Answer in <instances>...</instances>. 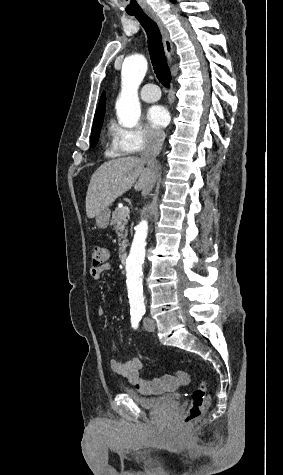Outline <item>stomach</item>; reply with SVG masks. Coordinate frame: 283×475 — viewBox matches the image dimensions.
Masks as SVG:
<instances>
[{
  "label": "stomach",
  "mask_w": 283,
  "mask_h": 475,
  "mask_svg": "<svg viewBox=\"0 0 283 475\" xmlns=\"http://www.w3.org/2000/svg\"><path fill=\"white\" fill-rule=\"evenodd\" d=\"M110 216L111 210H108V208H105V210H101V212H99V214L95 216L97 226H99V228H107Z\"/></svg>",
  "instance_id": "stomach-1"
}]
</instances>
